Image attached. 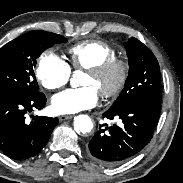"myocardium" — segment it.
I'll return each mask as SVG.
<instances>
[{
    "instance_id": "myocardium-1",
    "label": "myocardium",
    "mask_w": 183,
    "mask_h": 183,
    "mask_svg": "<svg viewBox=\"0 0 183 183\" xmlns=\"http://www.w3.org/2000/svg\"><path fill=\"white\" fill-rule=\"evenodd\" d=\"M115 71L118 73L115 83L110 88L100 92V96L104 99L114 98L124 89L130 74L129 63L125 59L114 57L86 69L88 74L96 78L104 77Z\"/></svg>"
}]
</instances>
